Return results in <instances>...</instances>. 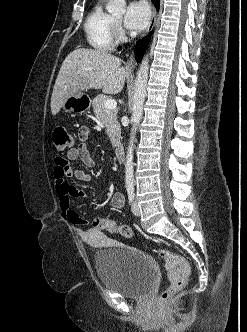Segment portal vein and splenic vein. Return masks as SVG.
I'll list each match as a JSON object with an SVG mask.
<instances>
[{
  "instance_id": "portal-vein-and-splenic-vein-1",
  "label": "portal vein and splenic vein",
  "mask_w": 247,
  "mask_h": 332,
  "mask_svg": "<svg viewBox=\"0 0 247 332\" xmlns=\"http://www.w3.org/2000/svg\"><path fill=\"white\" fill-rule=\"evenodd\" d=\"M105 107L107 109H115L117 107V102L113 99H108L105 102Z\"/></svg>"
}]
</instances>
